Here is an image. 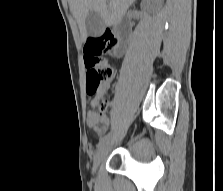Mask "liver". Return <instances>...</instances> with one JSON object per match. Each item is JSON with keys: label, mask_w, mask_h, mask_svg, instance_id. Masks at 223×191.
I'll return each mask as SVG.
<instances>
[{"label": "liver", "mask_w": 223, "mask_h": 191, "mask_svg": "<svg viewBox=\"0 0 223 191\" xmlns=\"http://www.w3.org/2000/svg\"><path fill=\"white\" fill-rule=\"evenodd\" d=\"M135 0H69L82 39L87 38L85 20L90 11L98 12L107 26L118 23Z\"/></svg>", "instance_id": "liver-1"}]
</instances>
